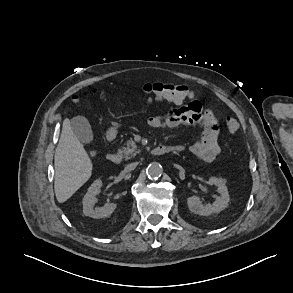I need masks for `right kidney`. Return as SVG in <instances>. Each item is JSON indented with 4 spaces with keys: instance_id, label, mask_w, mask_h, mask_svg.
Returning <instances> with one entry per match:
<instances>
[{
    "instance_id": "right-kidney-1",
    "label": "right kidney",
    "mask_w": 293,
    "mask_h": 293,
    "mask_svg": "<svg viewBox=\"0 0 293 293\" xmlns=\"http://www.w3.org/2000/svg\"><path fill=\"white\" fill-rule=\"evenodd\" d=\"M102 186L101 180H96L89 187L86 195L83 198V213L92 218H104L110 216L116 209L115 203H106L101 208H94L96 195L99 188Z\"/></svg>"
}]
</instances>
